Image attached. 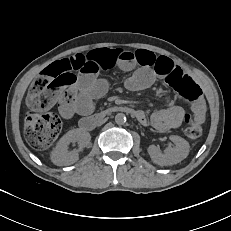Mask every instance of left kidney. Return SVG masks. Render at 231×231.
I'll return each instance as SVG.
<instances>
[{
    "instance_id": "5707ae66",
    "label": "left kidney",
    "mask_w": 231,
    "mask_h": 231,
    "mask_svg": "<svg viewBox=\"0 0 231 231\" xmlns=\"http://www.w3.org/2000/svg\"><path fill=\"white\" fill-rule=\"evenodd\" d=\"M169 138L175 144V147L167 148L164 153L154 145L148 147V153L154 163L162 166L173 165L188 156L190 146L185 139L176 135H171Z\"/></svg>"
}]
</instances>
